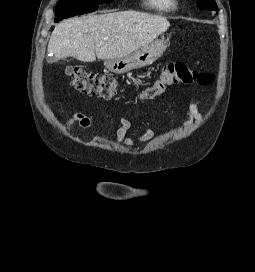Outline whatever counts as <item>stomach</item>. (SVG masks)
Listing matches in <instances>:
<instances>
[{"label": "stomach", "instance_id": "obj_1", "mask_svg": "<svg viewBox=\"0 0 255 272\" xmlns=\"http://www.w3.org/2000/svg\"><path fill=\"white\" fill-rule=\"evenodd\" d=\"M167 47V39H156L125 57L107 60L105 66L116 74H123L133 69L146 67L161 57Z\"/></svg>", "mask_w": 255, "mask_h": 272}]
</instances>
